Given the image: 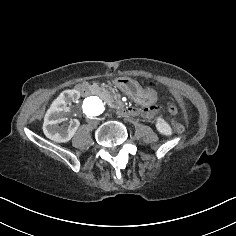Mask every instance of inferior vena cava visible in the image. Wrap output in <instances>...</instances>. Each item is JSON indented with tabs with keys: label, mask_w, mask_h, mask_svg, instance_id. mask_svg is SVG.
I'll return each instance as SVG.
<instances>
[{
	"label": "inferior vena cava",
	"mask_w": 236,
	"mask_h": 236,
	"mask_svg": "<svg viewBox=\"0 0 236 236\" xmlns=\"http://www.w3.org/2000/svg\"><path fill=\"white\" fill-rule=\"evenodd\" d=\"M85 121L88 123V125H97L99 123V120L98 119H95V120H91L89 117H86L85 118Z\"/></svg>",
	"instance_id": "obj_1"
}]
</instances>
